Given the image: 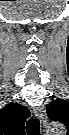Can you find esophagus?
Masks as SVG:
<instances>
[{
    "mask_svg": "<svg viewBox=\"0 0 69 135\" xmlns=\"http://www.w3.org/2000/svg\"><path fill=\"white\" fill-rule=\"evenodd\" d=\"M33 111L35 116L41 120L43 125H45L47 120L45 109L43 107H35Z\"/></svg>",
    "mask_w": 69,
    "mask_h": 135,
    "instance_id": "obj_1",
    "label": "esophagus"
}]
</instances>
